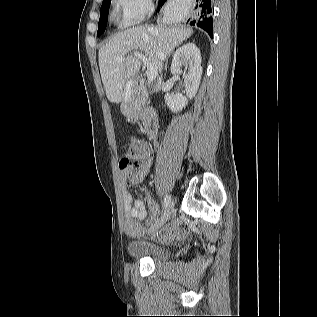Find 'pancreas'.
<instances>
[{"label": "pancreas", "instance_id": "1", "mask_svg": "<svg viewBox=\"0 0 317 317\" xmlns=\"http://www.w3.org/2000/svg\"><path fill=\"white\" fill-rule=\"evenodd\" d=\"M145 92L141 89L138 93L132 94V99L130 102L131 111L135 116H141V107L144 104Z\"/></svg>", "mask_w": 317, "mask_h": 317}]
</instances>
